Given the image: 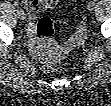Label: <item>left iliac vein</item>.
<instances>
[{
    "mask_svg": "<svg viewBox=\"0 0 111 106\" xmlns=\"http://www.w3.org/2000/svg\"><path fill=\"white\" fill-rule=\"evenodd\" d=\"M95 8V2L94 1H91L89 4H88V9L89 10H93Z\"/></svg>",
    "mask_w": 111,
    "mask_h": 106,
    "instance_id": "obj_1",
    "label": "left iliac vein"
}]
</instances>
